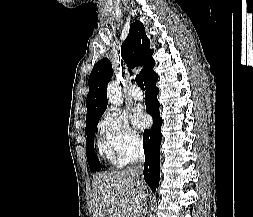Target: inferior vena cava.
<instances>
[{
    "label": "inferior vena cava",
    "instance_id": "602c4592",
    "mask_svg": "<svg viewBox=\"0 0 253 217\" xmlns=\"http://www.w3.org/2000/svg\"><path fill=\"white\" fill-rule=\"evenodd\" d=\"M143 163H144V150L141 141H138L133 149L131 155L130 166L126 168V171L130 173L133 178L134 184V193L137 196V203L139 207L138 217H144L143 215L146 213L145 208L147 207V200L149 189L147 185H145L144 179H139L143 172Z\"/></svg>",
    "mask_w": 253,
    "mask_h": 217
}]
</instances>
